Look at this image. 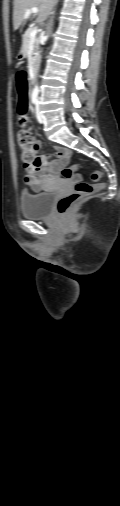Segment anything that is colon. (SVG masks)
Instances as JSON below:
<instances>
[{
	"instance_id": "1",
	"label": "colon",
	"mask_w": 120,
	"mask_h": 506,
	"mask_svg": "<svg viewBox=\"0 0 120 506\" xmlns=\"http://www.w3.org/2000/svg\"><path fill=\"white\" fill-rule=\"evenodd\" d=\"M18 60H23L24 58H18ZM29 78V71L27 69H18L16 71V85L18 91V102H17V114L18 121L21 125H24L27 121V110H28V100H27V79ZM18 144L20 148V157L22 161L23 168L26 172L32 173L36 171L39 167V156L37 155L38 147L34 140L33 135L25 130H21L18 132ZM79 169V167L73 168H65L61 171L62 176L65 179H72L74 173ZM101 177L100 172H94L92 174V180L96 183H88L85 181H78L75 184L74 191L61 197L57 202V211L60 214L67 213L78 201L84 199L85 197L91 195L92 193L100 190L102 188V184L98 183Z\"/></svg>"
}]
</instances>
